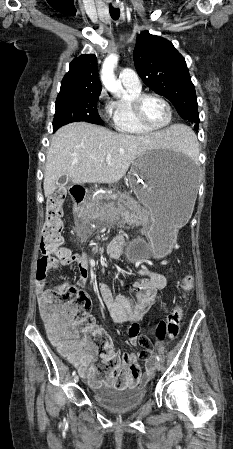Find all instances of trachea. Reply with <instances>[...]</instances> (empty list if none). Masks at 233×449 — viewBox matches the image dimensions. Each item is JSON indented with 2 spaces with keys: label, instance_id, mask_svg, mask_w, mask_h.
I'll use <instances>...</instances> for the list:
<instances>
[{
  "label": "trachea",
  "instance_id": "1",
  "mask_svg": "<svg viewBox=\"0 0 233 449\" xmlns=\"http://www.w3.org/2000/svg\"><path fill=\"white\" fill-rule=\"evenodd\" d=\"M110 16L113 20H118L120 16V10L117 8H114L112 6L109 7Z\"/></svg>",
  "mask_w": 233,
  "mask_h": 449
}]
</instances>
